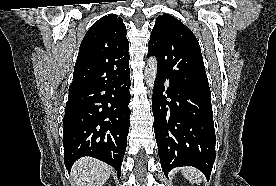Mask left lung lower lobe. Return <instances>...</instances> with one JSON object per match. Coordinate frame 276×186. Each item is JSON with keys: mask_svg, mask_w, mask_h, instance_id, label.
I'll use <instances>...</instances> for the list:
<instances>
[{"mask_svg": "<svg viewBox=\"0 0 276 186\" xmlns=\"http://www.w3.org/2000/svg\"><path fill=\"white\" fill-rule=\"evenodd\" d=\"M169 80L165 89L164 82ZM171 99L168 101L167 99ZM154 132L161 167L168 172L193 166L209 179L215 161V132L210 90L176 83L158 72L152 97Z\"/></svg>", "mask_w": 276, "mask_h": 186, "instance_id": "1", "label": "left lung lower lobe"}]
</instances>
